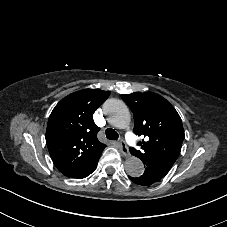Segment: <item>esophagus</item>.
Returning a JSON list of instances; mask_svg holds the SVG:
<instances>
[{
  "label": "esophagus",
  "instance_id": "esophagus-1",
  "mask_svg": "<svg viewBox=\"0 0 227 227\" xmlns=\"http://www.w3.org/2000/svg\"><path fill=\"white\" fill-rule=\"evenodd\" d=\"M119 146H120V151L121 153L125 156V157H129L130 156V152L129 149L125 143V141L123 139H121L119 141Z\"/></svg>",
  "mask_w": 227,
  "mask_h": 227
}]
</instances>
